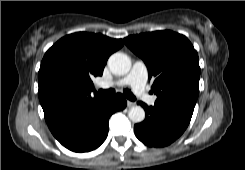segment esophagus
<instances>
[{
	"label": "esophagus",
	"mask_w": 245,
	"mask_h": 170,
	"mask_svg": "<svg viewBox=\"0 0 245 170\" xmlns=\"http://www.w3.org/2000/svg\"><path fill=\"white\" fill-rule=\"evenodd\" d=\"M135 105V103L134 102H132V101H127V106L128 107H132V106H134Z\"/></svg>",
	"instance_id": "1"
}]
</instances>
